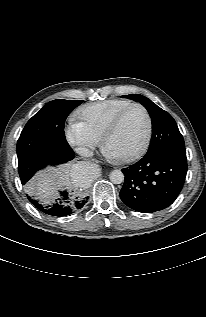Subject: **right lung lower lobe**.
<instances>
[{"label": "right lung lower lobe", "instance_id": "right-lung-lower-lobe-1", "mask_svg": "<svg viewBox=\"0 0 206 317\" xmlns=\"http://www.w3.org/2000/svg\"><path fill=\"white\" fill-rule=\"evenodd\" d=\"M57 157L59 164L70 161L74 158L75 154L69 145L66 147H59L57 150ZM28 196V195H27ZM28 200L40 211L51 216H67L79 209H81L87 202V197L79 192L69 191L64 189L60 193V198L53 206H46L41 204L38 200L28 196Z\"/></svg>", "mask_w": 206, "mask_h": 317}]
</instances>
